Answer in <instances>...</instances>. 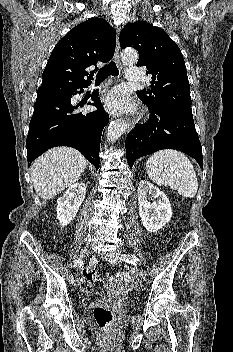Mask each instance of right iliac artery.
<instances>
[{"label": "right iliac artery", "mask_w": 233, "mask_h": 352, "mask_svg": "<svg viewBox=\"0 0 233 352\" xmlns=\"http://www.w3.org/2000/svg\"><path fill=\"white\" fill-rule=\"evenodd\" d=\"M83 264V260L81 259V257H77L75 260H74V267H81ZM69 282L72 284L74 282V277L71 275L69 276Z\"/></svg>", "instance_id": "82829eb1"}]
</instances>
